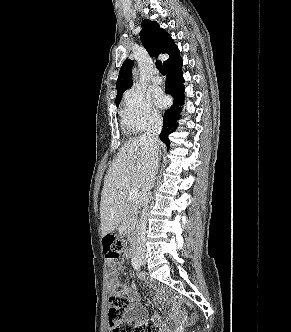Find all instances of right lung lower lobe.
<instances>
[{"label": "right lung lower lobe", "instance_id": "obj_1", "mask_svg": "<svg viewBox=\"0 0 291 332\" xmlns=\"http://www.w3.org/2000/svg\"><path fill=\"white\" fill-rule=\"evenodd\" d=\"M182 59L179 57L172 63L165 66L167 71V78L165 83V92L170 94L173 99V105L171 108L165 111L163 119V129L160 133L161 140L169 146L170 141L168 135L176 130L178 124L176 120L180 118L179 105L183 104L184 101V86L182 76Z\"/></svg>", "mask_w": 291, "mask_h": 332}]
</instances>
